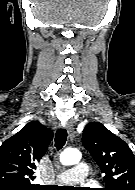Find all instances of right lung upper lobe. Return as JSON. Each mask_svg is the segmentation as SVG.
I'll use <instances>...</instances> for the list:
<instances>
[{"label":"right lung upper lobe","mask_w":135,"mask_h":190,"mask_svg":"<svg viewBox=\"0 0 135 190\" xmlns=\"http://www.w3.org/2000/svg\"><path fill=\"white\" fill-rule=\"evenodd\" d=\"M53 133L37 121L26 124L0 146V186L37 187L35 162L45 154Z\"/></svg>","instance_id":"obj_1"}]
</instances>
